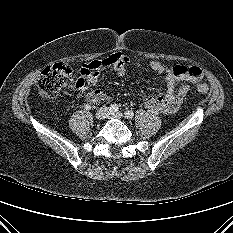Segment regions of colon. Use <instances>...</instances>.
Here are the masks:
<instances>
[{"mask_svg":"<svg viewBox=\"0 0 233 233\" xmlns=\"http://www.w3.org/2000/svg\"><path fill=\"white\" fill-rule=\"evenodd\" d=\"M174 72L177 75H186L192 78L201 76L200 69L194 66L175 68ZM70 74V67L62 63L46 67L36 81L40 95L47 99L55 98L61 88L66 84ZM196 90L199 94L204 95L208 93V86L204 83H199Z\"/></svg>","mask_w":233,"mask_h":233,"instance_id":"1","label":"colon"}]
</instances>
